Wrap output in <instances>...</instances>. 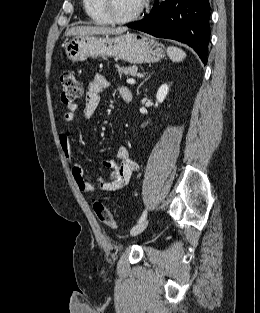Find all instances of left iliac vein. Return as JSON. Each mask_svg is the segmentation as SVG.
I'll return each instance as SVG.
<instances>
[{"instance_id":"left-iliac-vein-1","label":"left iliac vein","mask_w":260,"mask_h":313,"mask_svg":"<svg viewBox=\"0 0 260 313\" xmlns=\"http://www.w3.org/2000/svg\"><path fill=\"white\" fill-rule=\"evenodd\" d=\"M148 226V220L145 219L142 222L136 224L130 231L132 236H136L138 234H140L141 232H143L146 227Z\"/></svg>"}]
</instances>
